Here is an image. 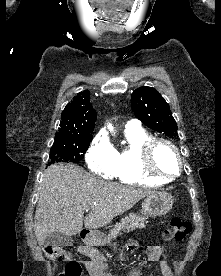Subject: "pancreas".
Wrapping results in <instances>:
<instances>
[{
  "instance_id": "obj_1",
  "label": "pancreas",
  "mask_w": 221,
  "mask_h": 276,
  "mask_svg": "<svg viewBox=\"0 0 221 276\" xmlns=\"http://www.w3.org/2000/svg\"><path fill=\"white\" fill-rule=\"evenodd\" d=\"M144 218L139 217L134 213H130L120 220L119 223L114 225V228L109 231V235L106 238V242L110 243V241L117 237V234L123 229H135L144 227Z\"/></svg>"
}]
</instances>
